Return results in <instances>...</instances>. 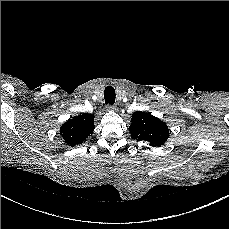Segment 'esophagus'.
Instances as JSON below:
<instances>
[{"mask_svg":"<svg viewBox=\"0 0 229 229\" xmlns=\"http://www.w3.org/2000/svg\"><path fill=\"white\" fill-rule=\"evenodd\" d=\"M106 108L109 111H117L118 110V106L117 105H107Z\"/></svg>","mask_w":229,"mask_h":229,"instance_id":"1","label":"esophagus"}]
</instances>
